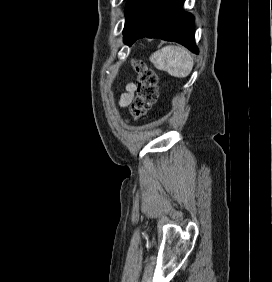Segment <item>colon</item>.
<instances>
[{"instance_id": "1", "label": "colon", "mask_w": 272, "mask_h": 282, "mask_svg": "<svg viewBox=\"0 0 272 282\" xmlns=\"http://www.w3.org/2000/svg\"><path fill=\"white\" fill-rule=\"evenodd\" d=\"M138 73L136 96L131 104V114L141 117L151 109L157 98V75L142 62H135Z\"/></svg>"}]
</instances>
